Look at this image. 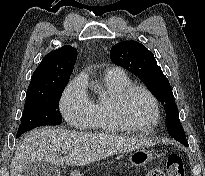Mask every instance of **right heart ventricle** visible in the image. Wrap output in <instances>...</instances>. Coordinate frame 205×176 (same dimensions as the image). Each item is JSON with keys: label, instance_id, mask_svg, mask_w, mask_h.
<instances>
[{"label": "right heart ventricle", "instance_id": "1", "mask_svg": "<svg viewBox=\"0 0 205 176\" xmlns=\"http://www.w3.org/2000/svg\"><path fill=\"white\" fill-rule=\"evenodd\" d=\"M103 82L106 95L98 96L92 101V116L89 127L101 135H112L127 130L116 115L115 101L118 94L131 85V80L123 72L104 74Z\"/></svg>", "mask_w": 205, "mask_h": 176}]
</instances>
